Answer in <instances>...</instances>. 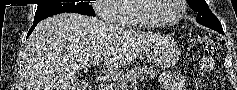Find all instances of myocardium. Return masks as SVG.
Instances as JSON below:
<instances>
[{
  "instance_id": "myocardium-1",
  "label": "myocardium",
  "mask_w": 237,
  "mask_h": 90,
  "mask_svg": "<svg viewBox=\"0 0 237 90\" xmlns=\"http://www.w3.org/2000/svg\"><path fill=\"white\" fill-rule=\"evenodd\" d=\"M142 1H149V0H138V1H132L134 6H135V14L137 19L140 21V23L142 24V26L144 28H170V27H174L175 25H177L185 11H186V6L183 3H187L188 0H176L175 4L177 5V14L175 16V18L172 21L169 22H157V21H151L149 19H147L140 10V3H142Z\"/></svg>"
}]
</instances>
